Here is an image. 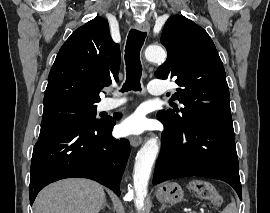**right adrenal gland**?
<instances>
[{
	"label": "right adrenal gland",
	"mask_w": 270,
	"mask_h": 213,
	"mask_svg": "<svg viewBox=\"0 0 270 213\" xmlns=\"http://www.w3.org/2000/svg\"><path fill=\"white\" fill-rule=\"evenodd\" d=\"M105 207H107L109 210H111V207L108 205L107 201L105 200L102 209H104Z\"/></svg>",
	"instance_id": "right-adrenal-gland-1"
}]
</instances>
